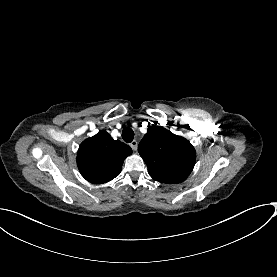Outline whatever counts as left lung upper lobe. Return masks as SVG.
Segmentation results:
<instances>
[{
	"instance_id": "left-lung-upper-lobe-1",
	"label": "left lung upper lobe",
	"mask_w": 277,
	"mask_h": 277,
	"mask_svg": "<svg viewBox=\"0 0 277 277\" xmlns=\"http://www.w3.org/2000/svg\"><path fill=\"white\" fill-rule=\"evenodd\" d=\"M148 132L138 151L148 167L149 175L166 184L183 182L193 170L196 152L191 143L169 130L148 125Z\"/></svg>"
}]
</instances>
